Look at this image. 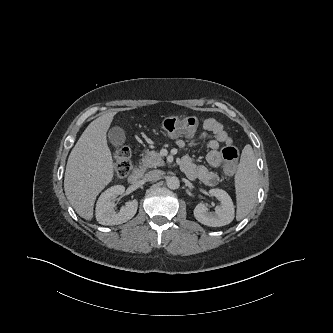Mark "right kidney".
<instances>
[{
	"label": "right kidney",
	"instance_id": "right-kidney-1",
	"mask_svg": "<svg viewBox=\"0 0 333 333\" xmlns=\"http://www.w3.org/2000/svg\"><path fill=\"white\" fill-rule=\"evenodd\" d=\"M125 187L116 185L105 190L96 204V219L102 225H119L130 220L137 212L138 201L132 200L119 211L114 208L117 196L123 194Z\"/></svg>",
	"mask_w": 333,
	"mask_h": 333
}]
</instances>
